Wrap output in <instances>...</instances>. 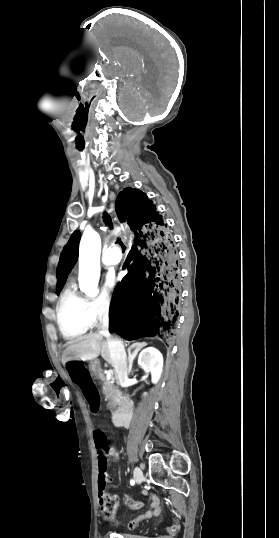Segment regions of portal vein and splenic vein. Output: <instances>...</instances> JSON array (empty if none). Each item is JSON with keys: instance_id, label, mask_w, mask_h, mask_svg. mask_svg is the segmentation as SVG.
I'll list each match as a JSON object with an SVG mask.
<instances>
[{"instance_id": "18ae733b", "label": "portal vein and splenic vein", "mask_w": 279, "mask_h": 538, "mask_svg": "<svg viewBox=\"0 0 279 538\" xmlns=\"http://www.w3.org/2000/svg\"><path fill=\"white\" fill-rule=\"evenodd\" d=\"M112 376H113L112 370H108V372L106 374V380H110V378H112Z\"/></svg>"}]
</instances>
